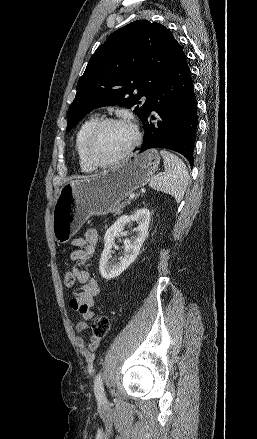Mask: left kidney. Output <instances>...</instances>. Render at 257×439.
I'll return each mask as SVG.
<instances>
[{
  "instance_id": "left-kidney-1",
  "label": "left kidney",
  "mask_w": 257,
  "mask_h": 439,
  "mask_svg": "<svg viewBox=\"0 0 257 439\" xmlns=\"http://www.w3.org/2000/svg\"><path fill=\"white\" fill-rule=\"evenodd\" d=\"M137 224L136 236L124 240V256L119 262L111 260L112 246L115 237L123 234L125 226ZM150 223V212L146 208H141L131 215H123L106 231L104 236V249L99 261V271L101 276L107 280L119 276L139 255L142 244L148 236Z\"/></svg>"
}]
</instances>
